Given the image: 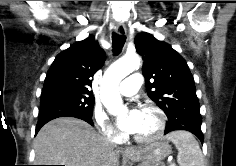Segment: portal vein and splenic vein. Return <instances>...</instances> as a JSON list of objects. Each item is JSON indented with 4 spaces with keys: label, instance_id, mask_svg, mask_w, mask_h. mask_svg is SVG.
I'll list each match as a JSON object with an SVG mask.
<instances>
[{
    "label": "portal vein and splenic vein",
    "instance_id": "18ae733b",
    "mask_svg": "<svg viewBox=\"0 0 236 166\" xmlns=\"http://www.w3.org/2000/svg\"><path fill=\"white\" fill-rule=\"evenodd\" d=\"M169 166H176V164L175 163H171Z\"/></svg>",
    "mask_w": 236,
    "mask_h": 166
}]
</instances>
